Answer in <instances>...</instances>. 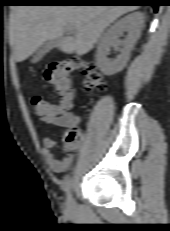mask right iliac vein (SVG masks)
Masks as SVG:
<instances>
[{
    "instance_id": "63e3f726",
    "label": "right iliac vein",
    "mask_w": 170,
    "mask_h": 231,
    "mask_svg": "<svg viewBox=\"0 0 170 231\" xmlns=\"http://www.w3.org/2000/svg\"><path fill=\"white\" fill-rule=\"evenodd\" d=\"M74 209H75V201L71 196H69L66 203V211L68 213H71L74 211Z\"/></svg>"
}]
</instances>
